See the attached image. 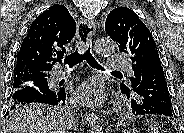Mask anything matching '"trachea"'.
<instances>
[{
  "label": "trachea",
  "mask_w": 184,
  "mask_h": 133,
  "mask_svg": "<svg viewBox=\"0 0 184 133\" xmlns=\"http://www.w3.org/2000/svg\"><path fill=\"white\" fill-rule=\"evenodd\" d=\"M85 49V48H84ZM86 60V62L93 68L99 69V70H105L92 56L90 53V46L82 52L80 49L79 52L76 51L70 56H67L64 58V63L67 64L69 67H73L81 62ZM113 72H119V71H113Z\"/></svg>",
  "instance_id": "obj_1"
}]
</instances>
